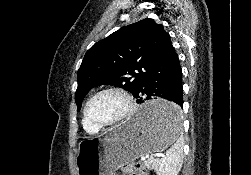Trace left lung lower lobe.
I'll list each match as a JSON object with an SVG mask.
<instances>
[{"label":"left lung lower lobe","instance_id":"1","mask_svg":"<svg viewBox=\"0 0 251 175\" xmlns=\"http://www.w3.org/2000/svg\"><path fill=\"white\" fill-rule=\"evenodd\" d=\"M134 97L138 98L137 103L163 98L176 104H165L142 110L139 117L143 122L174 123L180 119L183 105L182 70L170 39L145 73Z\"/></svg>","mask_w":251,"mask_h":175}]
</instances>
